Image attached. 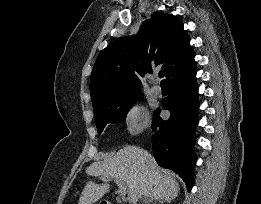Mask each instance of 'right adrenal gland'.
<instances>
[{
	"label": "right adrenal gland",
	"mask_w": 261,
	"mask_h": 204,
	"mask_svg": "<svg viewBox=\"0 0 261 204\" xmlns=\"http://www.w3.org/2000/svg\"><path fill=\"white\" fill-rule=\"evenodd\" d=\"M153 199L151 198H146L145 200H143V203L142 204H149L150 202H152ZM161 202V201H160Z\"/></svg>",
	"instance_id": "1"
}]
</instances>
